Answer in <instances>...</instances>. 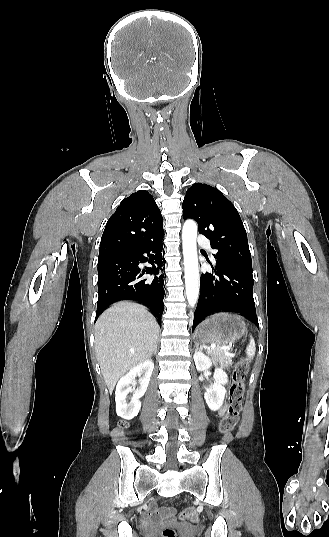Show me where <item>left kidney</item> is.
Returning <instances> with one entry per match:
<instances>
[{
  "instance_id": "1",
  "label": "left kidney",
  "mask_w": 329,
  "mask_h": 537,
  "mask_svg": "<svg viewBox=\"0 0 329 537\" xmlns=\"http://www.w3.org/2000/svg\"><path fill=\"white\" fill-rule=\"evenodd\" d=\"M193 358L198 371H204L210 368L212 365L211 359L200 351L196 350ZM213 378L214 384L210 389L206 390V392L204 393V398L208 407L212 411H217L222 406L226 395V389L224 385L228 382V376L223 371V369L216 368Z\"/></svg>"
}]
</instances>
